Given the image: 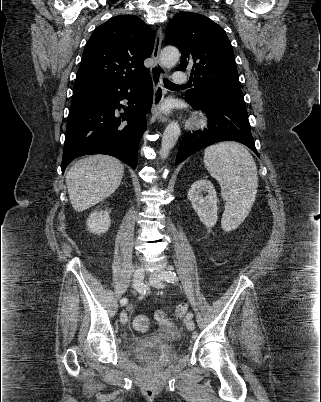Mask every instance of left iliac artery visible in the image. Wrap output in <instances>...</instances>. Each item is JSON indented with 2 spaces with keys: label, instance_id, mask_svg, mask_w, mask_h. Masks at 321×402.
<instances>
[{
  "label": "left iliac artery",
  "instance_id": "1",
  "mask_svg": "<svg viewBox=\"0 0 321 402\" xmlns=\"http://www.w3.org/2000/svg\"><path fill=\"white\" fill-rule=\"evenodd\" d=\"M160 278L162 280H165L167 282H171V283H175L177 282L178 278L176 276V273L173 271H165ZM188 319H192L193 318V314L192 313H188L186 316Z\"/></svg>",
  "mask_w": 321,
  "mask_h": 402
}]
</instances>
